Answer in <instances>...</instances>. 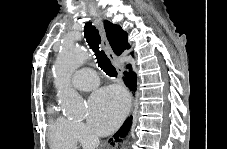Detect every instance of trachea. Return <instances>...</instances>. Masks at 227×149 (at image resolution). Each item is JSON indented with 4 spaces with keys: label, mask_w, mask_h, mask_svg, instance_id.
<instances>
[{
    "label": "trachea",
    "mask_w": 227,
    "mask_h": 149,
    "mask_svg": "<svg viewBox=\"0 0 227 149\" xmlns=\"http://www.w3.org/2000/svg\"><path fill=\"white\" fill-rule=\"evenodd\" d=\"M84 35L88 45L94 51L99 67L110 77H116L117 71L103 50H100L101 37L92 22H86Z\"/></svg>",
    "instance_id": "obj_1"
}]
</instances>
